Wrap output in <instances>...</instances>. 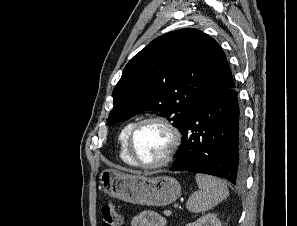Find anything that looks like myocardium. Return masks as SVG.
Masks as SVG:
<instances>
[{
  "instance_id": "obj_1",
  "label": "myocardium",
  "mask_w": 297,
  "mask_h": 226,
  "mask_svg": "<svg viewBox=\"0 0 297 226\" xmlns=\"http://www.w3.org/2000/svg\"><path fill=\"white\" fill-rule=\"evenodd\" d=\"M158 123L162 125L170 134L171 140L163 158L154 163H144L138 159L133 149V141L137 130L144 124ZM182 135L178 127L168 118L159 115H151L137 120L131 127L127 136V151L133 163L144 169H158L168 165L174 158L181 145Z\"/></svg>"
}]
</instances>
